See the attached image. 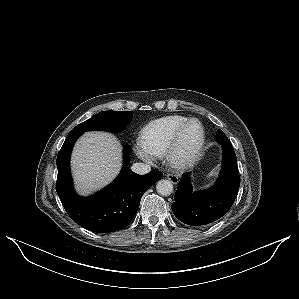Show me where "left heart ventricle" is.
I'll list each match as a JSON object with an SVG mask.
<instances>
[{
	"label": "left heart ventricle",
	"mask_w": 299,
	"mask_h": 299,
	"mask_svg": "<svg viewBox=\"0 0 299 299\" xmlns=\"http://www.w3.org/2000/svg\"><path fill=\"white\" fill-rule=\"evenodd\" d=\"M199 136H200L199 125L197 123L191 124L183 136V139H182L183 148L191 149L198 141Z\"/></svg>",
	"instance_id": "left-heart-ventricle-1"
}]
</instances>
